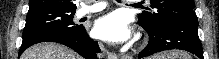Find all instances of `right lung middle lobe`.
I'll list each match as a JSON object with an SVG mask.
<instances>
[{
  "label": "right lung middle lobe",
  "mask_w": 219,
  "mask_h": 59,
  "mask_svg": "<svg viewBox=\"0 0 219 59\" xmlns=\"http://www.w3.org/2000/svg\"><path fill=\"white\" fill-rule=\"evenodd\" d=\"M75 11L38 10L27 14L23 38L49 31L77 32L82 26L73 22Z\"/></svg>",
  "instance_id": "obj_1"
}]
</instances>
